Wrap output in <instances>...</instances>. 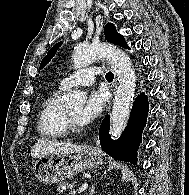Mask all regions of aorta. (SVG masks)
Returning a JSON list of instances; mask_svg holds the SVG:
<instances>
[{
    "label": "aorta",
    "mask_w": 189,
    "mask_h": 195,
    "mask_svg": "<svg viewBox=\"0 0 189 195\" xmlns=\"http://www.w3.org/2000/svg\"><path fill=\"white\" fill-rule=\"evenodd\" d=\"M101 58L109 60L119 80L110 120V134L113 138H117L127 124L135 95L136 76L128 55L121 49L107 44L77 45L74 49L72 61L76 68H81ZM86 99L84 93L74 91L68 94L66 103L69 106H83Z\"/></svg>",
    "instance_id": "762f6f07"
}]
</instances>
